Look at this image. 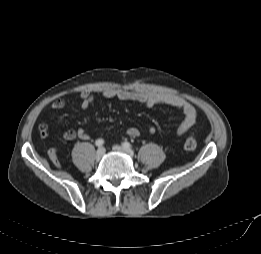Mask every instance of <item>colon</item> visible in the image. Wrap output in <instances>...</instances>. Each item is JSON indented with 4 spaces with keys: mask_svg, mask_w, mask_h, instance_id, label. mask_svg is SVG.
I'll list each match as a JSON object with an SVG mask.
<instances>
[{
    "mask_svg": "<svg viewBox=\"0 0 261 254\" xmlns=\"http://www.w3.org/2000/svg\"><path fill=\"white\" fill-rule=\"evenodd\" d=\"M196 146H197V142H196V139L194 138V136L193 135L188 136L184 143V148L187 151H193L196 148ZM55 165L57 167H59L60 163L58 161H56Z\"/></svg>",
    "mask_w": 261,
    "mask_h": 254,
    "instance_id": "5ec220e1",
    "label": "colon"
}]
</instances>
